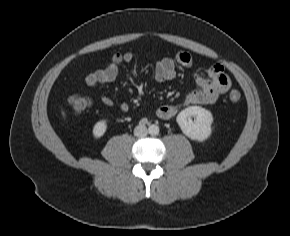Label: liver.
Wrapping results in <instances>:
<instances>
[{
	"label": "liver",
	"instance_id": "6515ba94",
	"mask_svg": "<svg viewBox=\"0 0 290 236\" xmlns=\"http://www.w3.org/2000/svg\"><path fill=\"white\" fill-rule=\"evenodd\" d=\"M61 114H62V116L65 118L66 117V114H65V112L62 110L61 111Z\"/></svg>",
	"mask_w": 290,
	"mask_h": 236
}]
</instances>
